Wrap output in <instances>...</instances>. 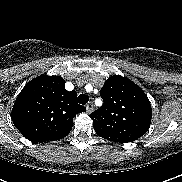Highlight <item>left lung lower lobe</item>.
<instances>
[{"instance_id":"1","label":"left lung lower lobe","mask_w":182,"mask_h":182,"mask_svg":"<svg viewBox=\"0 0 182 182\" xmlns=\"http://www.w3.org/2000/svg\"><path fill=\"white\" fill-rule=\"evenodd\" d=\"M100 137L104 138V139H108L110 141H114V142H121V143H128L131 142L129 140H125V139H121L117 136H113V135H109V134H105V133H101V132H96Z\"/></svg>"}]
</instances>
